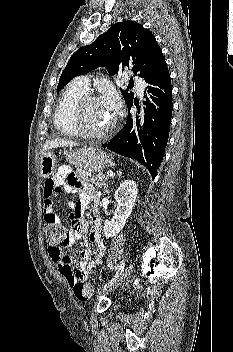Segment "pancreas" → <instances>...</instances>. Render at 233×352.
<instances>
[{
	"label": "pancreas",
	"instance_id": "pancreas-1",
	"mask_svg": "<svg viewBox=\"0 0 233 352\" xmlns=\"http://www.w3.org/2000/svg\"><path fill=\"white\" fill-rule=\"evenodd\" d=\"M76 175L78 179H82L86 182L93 183L97 187H104L106 185V182L109 180V177L106 175L98 174V175H91L88 173H85L81 170L76 171Z\"/></svg>",
	"mask_w": 233,
	"mask_h": 352
}]
</instances>
